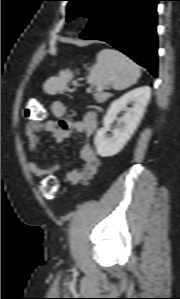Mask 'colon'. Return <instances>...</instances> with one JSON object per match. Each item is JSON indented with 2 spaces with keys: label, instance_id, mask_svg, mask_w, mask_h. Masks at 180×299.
Masks as SVG:
<instances>
[{
  "label": "colon",
  "instance_id": "colon-1",
  "mask_svg": "<svg viewBox=\"0 0 180 299\" xmlns=\"http://www.w3.org/2000/svg\"><path fill=\"white\" fill-rule=\"evenodd\" d=\"M49 89V85H47ZM47 115L44 106L37 100H31L27 104V117L31 120H43ZM39 189L47 199H54L59 192V182L55 177L49 176L39 183Z\"/></svg>",
  "mask_w": 180,
  "mask_h": 299
}]
</instances>
